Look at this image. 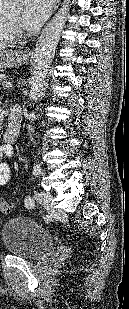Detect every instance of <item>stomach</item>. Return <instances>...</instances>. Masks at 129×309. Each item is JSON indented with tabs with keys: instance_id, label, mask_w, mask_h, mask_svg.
<instances>
[{
	"instance_id": "0dacf381",
	"label": "stomach",
	"mask_w": 129,
	"mask_h": 309,
	"mask_svg": "<svg viewBox=\"0 0 129 309\" xmlns=\"http://www.w3.org/2000/svg\"><path fill=\"white\" fill-rule=\"evenodd\" d=\"M29 55L26 51L0 49V69L24 65L28 62Z\"/></svg>"
}]
</instances>
